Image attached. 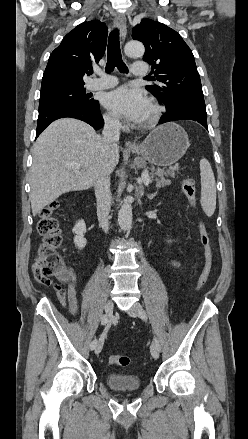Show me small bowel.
<instances>
[{
	"mask_svg": "<svg viewBox=\"0 0 248 439\" xmlns=\"http://www.w3.org/2000/svg\"><path fill=\"white\" fill-rule=\"evenodd\" d=\"M169 265L173 268H179L181 264L177 261H170ZM32 271L35 280L39 284L48 285L49 283L45 278L41 276L39 266L35 263L32 266ZM68 285L67 288L64 289L59 285H54L57 298L60 304L67 309L71 315L76 316L78 314V304H77V291H76V275L72 268L68 269Z\"/></svg>",
	"mask_w": 248,
	"mask_h": 439,
	"instance_id": "1",
	"label": "small bowel"
}]
</instances>
